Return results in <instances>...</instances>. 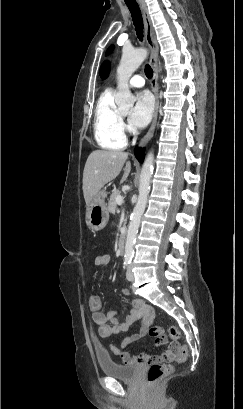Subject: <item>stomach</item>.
Segmentation results:
<instances>
[{
	"mask_svg": "<svg viewBox=\"0 0 243 409\" xmlns=\"http://www.w3.org/2000/svg\"><path fill=\"white\" fill-rule=\"evenodd\" d=\"M106 197V190H100L87 206L86 224L92 231L102 230L109 220V211L105 204Z\"/></svg>",
	"mask_w": 243,
	"mask_h": 409,
	"instance_id": "stomach-1",
	"label": "stomach"
}]
</instances>
